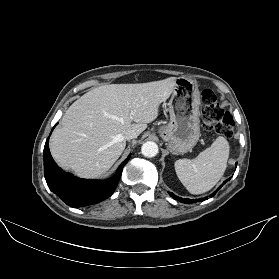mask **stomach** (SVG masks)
Returning a JSON list of instances; mask_svg holds the SVG:
<instances>
[{
	"instance_id": "obj_1",
	"label": "stomach",
	"mask_w": 279,
	"mask_h": 279,
	"mask_svg": "<svg viewBox=\"0 0 279 279\" xmlns=\"http://www.w3.org/2000/svg\"><path fill=\"white\" fill-rule=\"evenodd\" d=\"M200 92L195 81L177 78L168 103L170 122L158 132L173 154L190 151L200 137Z\"/></svg>"
}]
</instances>
